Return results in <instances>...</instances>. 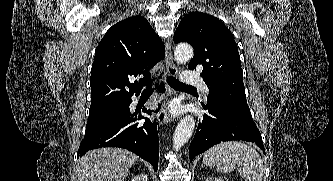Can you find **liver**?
Wrapping results in <instances>:
<instances>
[{
	"instance_id": "obj_1",
	"label": "liver",
	"mask_w": 333,
	"mask_h": 181,
	"mask_svg": "<svg viewBox=\"0 0 333 181\" xmlns=\"http://www.w3.org/2000/svg\"><path fill=\"white\" fill-rule=\"evenodd\" d=\"M137 159L136 154L122 148L90 150L77 162V181H124Z\"/></svg>"
}]
</instances>
